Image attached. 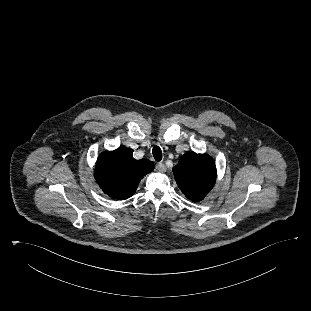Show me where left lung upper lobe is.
<instances>
[{
  "instance_id": "5c2ea615",
  "label": "left lung upper lobe",
  "mask_w": 311,
  "mask_h": 311,
  "mask_svg": "<svg viewBox=\"0 0 311 311\" xmlns=\"http://www.w3.org/2000/svg\"><path fill=\"white\" fill-rule=\"evenodd\" d=\"M175 180L182 193L191 201H201L213 188L216 166L211 156L188 152L173 168Z\"/></svg>"
}]
</instances>
